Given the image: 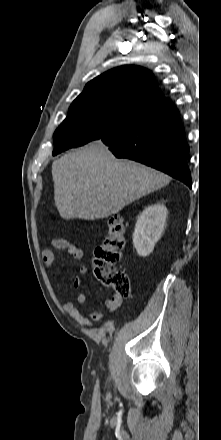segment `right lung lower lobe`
<instances>
[{"label": "right lung lower lobe", "instance_id": "right-lung-lower-lobe-1", "mask_svg": "<svg viewBox=\"0 0 221 440\" xmlns=\"http://www.w3.org/2000/svg\"><path fill=\"white\" fill-rule=\"evenodd\" d=\"M99 140L117 158L141 162L191 187L189 147L179 112L169 98L135 111Z\"/></svg>", "mask_w": 221, "mask_h": 440}]
</instances>
